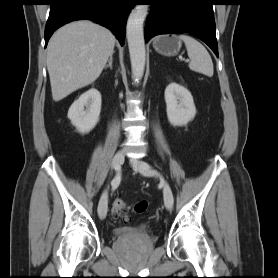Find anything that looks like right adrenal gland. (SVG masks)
Listing matches in <instances>:
<instances>
[{"label": "right adrenal gland", "instance_id": "2a0ac1e0", "mask_svg": "<svg viewBox=\"0 0 278 278\" xmlns=\"http://www.w3.org/2000/svg\"><path fill=\"white\" fill-rule=\"evenodd\" d=\"M112 62H113V53L110 55L108 64L105 65V69H107L108 67H110V69H112Z\"/></svg>", "mask_w": 278, "mask_h": 278}]
</instances>
